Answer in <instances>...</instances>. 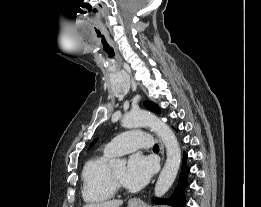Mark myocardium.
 Masks as SVG:
<instances>
[{
	"instance_id": "myocardium-1",
	"label": "myocardium",
	"mask_w": 261,
	"mask_h": 207,
	"mask_svg": "<svg viewBox=\"0 0 261 207\" xmlns=\"http://www.w3.org/2000/svg\"><path fill=\"white\" fill-rule=\"evenodd\" d=\"M109 179L115 191L124 189V185L115 177L112 168L109 170Z\"/></svg>"
}]
</instances>
